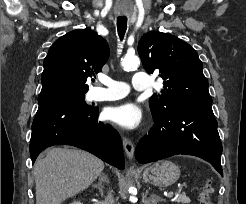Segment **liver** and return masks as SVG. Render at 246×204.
<instances>
[{
    "instance_id": "obj_1",
    "label": "liver",
    "mask_w": 246,
    "mask_h": 204,
    "mask_svg": "<svg viewBox=\"0 0 246 204\" xmlns=\"http://www.w3.org/2000/svg\"><path fill=\"white\" fill-rule=\"evenodd\" d=\"M103 169V161L86 151L48 149L34 165L36 204H61L88 188Z\"/></svg>"
}]
</instances>
